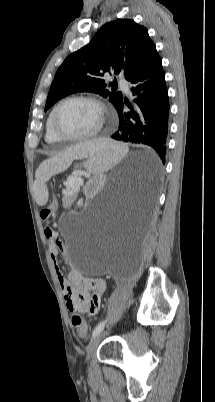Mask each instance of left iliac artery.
<instances>
[{
	"instance_id": "obj_1",
	"label": "left iliac artery",
	"mask_w": 215,
	"mask_h": 402,
	"mask_svg": "<svg viewBox=\"0 0 215 402\" xmlns=\"http://www.w3.org/2000/svg\"><path fill=\"white\" fill-rule=\"evenodd\" d=\"M105 323H106V321L104 320V321L100 322V323L94 328L93 333H92V336H93V337L96 336L98 333H100V332L104 329Z\"/></svg>"
}]
</instances>
